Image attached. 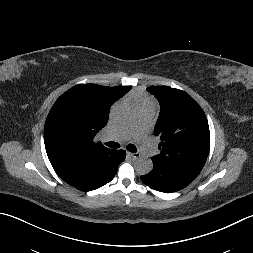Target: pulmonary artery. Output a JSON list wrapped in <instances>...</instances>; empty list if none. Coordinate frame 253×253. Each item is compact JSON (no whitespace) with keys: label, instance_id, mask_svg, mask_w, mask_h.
Returning <instances> with one entry per match:
<instances>
[{"label":"pulmonary artery","instance_id":"obj_1","mask_svg":"<svg viewBox=\"0 0 253 253\" xmlns=\"http://www.w3.org/2000/svg\"><path fill=\"white\" fill-rule=\"evenodd\" d=\"M153 114L154 108L152 107H142L137 109L133 126L137 131L134 135L140 149L147 157L153 156L156 153L155 146L150 142L147 136ZM131 135H133V128L121 130L114 135L106 134L103 139L105 141H121L129 138Z\"/></svg>","mask_w":253,"mask_h":253}]
</instances>
